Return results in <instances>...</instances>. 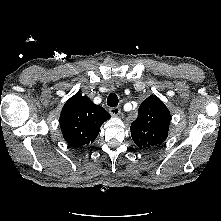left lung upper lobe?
I'll list each match as a JSON object with an SVG mask.
<instances>
[{"instance_id":"obj_1","label":"left lung upper lobe","mask_w":221,"mask_h":221,"mask_svg":"<svg viewBox=\"0 0 221 221\" xmlns=\"http://www.w3.org/2000/svg\"><path fill=\"white\" fill-rule=\"evenodd\" d=\"M171 115L155 95L149 96L139 108V117L130 127L132 139L142 149L161 144L168 136Z\"/></svg>"}]
</instances>
